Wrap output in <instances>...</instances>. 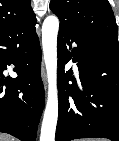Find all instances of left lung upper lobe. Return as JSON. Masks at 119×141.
<instances>
[{
	"label": "left lung upper lobe",
	"mask_w": 119,
	"mask_h": 141,
	"mask_svg": "<svg viewBox=\"0 0 119 141\" xmlns=\"http://www.w3.org/2000/svg\"><path fill=\"white\" fill-rule=\"evenodd\" d=\"M50 10L58 16L60 26L119 49L117 24L108 0H51Z\"/></svg>",
	"instance_id": "5c2ea615"
}]
</instances>
